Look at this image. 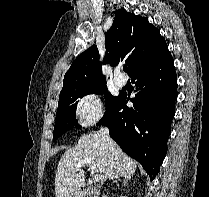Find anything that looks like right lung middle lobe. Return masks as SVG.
<instances>
[{"instance_id": "1", "label": "right lung middle lobe", "mask_w": 209, "mask_h": 197, "mask_svg": "<svg viewBox=\"0 0 209 197\" xmlns=\"http://www.w3.org/2000/svg\"><path fill=\"white\" fill-rule=\"evenodd\" d=\"M88 94H105L106 109L118 97L107 93L106 83L76 85L61 90L59 96L56 122L54 126L53 139H57L66 131L74 127H80L75 118L77 99Z\"/></svg>"}]
</instances>
